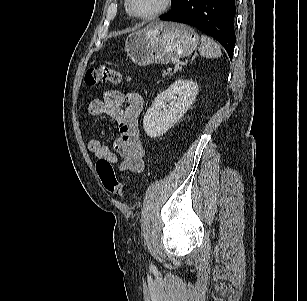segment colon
I'll use <instances>...</instances> for the list:
<instances>
[{"label": "colon", "mask_w": 307, "mask_h": 301, "mask_svg": "<svg viewBox=\"0 0 307 301\" xmlns=\"http://www.w3.org/2000/svg\"><path fill=\"white\" fill-rule=\"evenodd\" d=\"M127 79L119 71L106 65L90 67L84 77L87 86H96L102 83L117 85ZM96 170L105 189L115 196L122 197V184L115 174L112 163L104 158L99 159L96 163Z\"/></svg>", "instance_id": "obj_1"}]
</instances>
